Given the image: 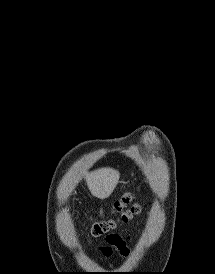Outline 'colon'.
Returning <instances> with one entry per match:
<instances>
[{
  "label": "colon",
  "mask_w": 215,
  "mask_h": 274,
  "mask_svg": "<svg viewBox=\"0 0 215 274\" xmlns=\"http://www.w3.org/2000/svg\"><path fill=\"white\" fill-rule=\"evenodd\" d=\"M113 211L118 214L116 219L101 220L92 223L91 234L93 237L102 235L109 229L114 228L119 222H127L134 215L138 214L139 206L134 202V195L126 193L120 200L114 203Z\"/></svg>",
  "instance_id": "5ec220e1"
}]
</instances>
